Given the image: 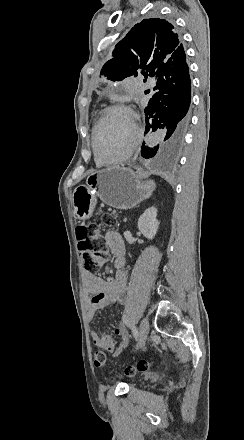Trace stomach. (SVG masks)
Wrapping results in <instances>:
<instances>
[{"label": "stomach", "mask_w": 244, "mask_h": 440, "mask_svg": "<svg viewBox=\"0 0 244 440\" xmlns=\"http://www.w3.org/2000/svg\"><path fill=\"white\" fill-rule=\"evenodd\" d=\"M142 170L131 168H106L90 174L86 186H77L73 192L72 204L76 220L85 222L91 218L100 198L104 204L129 210L152 196L156 186L153 180H142Z\"/></svg>", "instance_id": "stomach-1"}]
</instances>
